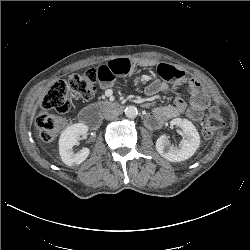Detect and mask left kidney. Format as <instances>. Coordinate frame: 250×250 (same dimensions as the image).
Listing matches in <instances>:
<instances>
[{"label":"left kidney","instance_id":"5707ae66","mask_svg":"<svg viewBox=\"0 0 250 250\" xmlns=\"http://www.w3.org/2000/svg\"><path fill=\"white\" fill-rule=\"evenodd\" d=\"M171 126H177L183 131V140L179 147L171 145L165 135L160 136L156 141L157 152L170 162H181L194 155L200 145V136L192 124L187 119L175 118L170 121Z\"/></svg>","mask_w":250,"mask_h":250}]
</instances>
